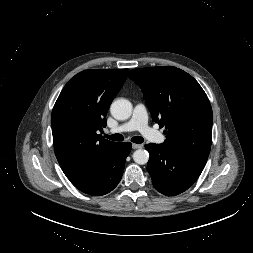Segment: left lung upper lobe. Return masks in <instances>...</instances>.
<instances>
[{"label":"left lung upper lobe","mask_w":253,"mask_h":253,"mask_svg":"<svg viewBox=\"0 0 253 253\" xmlns=\"http://www.w3.org/2000/svg\"><path fill=\"white\" fill-rule=\"evenodd\" d=\"M128 77L143 92L153 120L165 127L169 152L205 166L211 148L213 114L199 83L172 66L131 70Z\"/></svg>","instance_id":"left-lung-upper-lobe-1"}]
</instances>
